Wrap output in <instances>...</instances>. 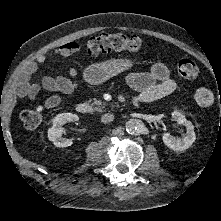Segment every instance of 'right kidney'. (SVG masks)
<instances>
[{"label":"right kidney","instance_id":"obj_1","mask_svg":"<svg viewBox=\"0 0 221 221\" xmlns=\"http://www.w3.org/2000/svg\"><path fill=\"white\" fill-rule=\"evenodd\" d=\"M79 117L72 113L58 114L52 120V126L48 129V139L53 142L56 147H68L73 144L72 139L62 137V126L67 122L78 121Z\"/></svg>","mask_w":221,"mask_h":221}]
</instances>
